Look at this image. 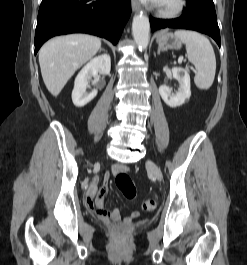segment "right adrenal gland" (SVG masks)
<instances>
[{
    "mask_svg": "<svg viewBox=\"0 0 247 265\" xmlns=\"http://www.w3.org/2000/svg\"><path fill=\"white\" fill-rule=\"evenodd\" d=\"M100 51H105V50L103 48H101Z\"/></svg>",
    "mask_w": 247,
    "mask_h": 265,
    "instance_id": "obj_1",
    "label": "right adrenal gland"
}]
</instances>
